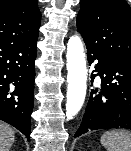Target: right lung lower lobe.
Wrapping results in <instances>:
<instances>
[{
	"label": "right lung lower lobe",
	"mask_w": 131,
	"mask_h": 151,
	"mask_svg": "<svg viewBox=\"0 0 131 151\" xmlns=\"http://www.w3.org/2000/svg\"><path fill=\"white\" fill-rule=\"evenodd\" d=\"M37 39L0 43V120L17 128L28 141L34 104Z\"/></svg>",
	"instance_id": "98d812e1"
}]
</instances>
